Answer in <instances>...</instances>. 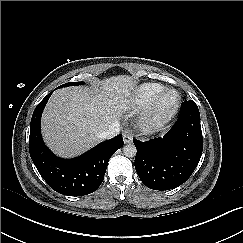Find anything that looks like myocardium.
<instances>
[{"label": "myocardium", "instance_id": "myocardium-1", "mask_svg": "<svg viewBox=\"0 0 243 243\" xmlns=\"http://www.w3.org/2000/svg\"><path fill=\"white\" fill-rule=\"evenodd\" d=\"M169 93H175L176 101L171 107L164 106V99ZM182 95L175 88H166L160 92L139 117V126L146 132L151 133L159 130L169 123L181 107Z\"/></svg>", "mask_w": 243, "mask_h": 243}]
</instances>
